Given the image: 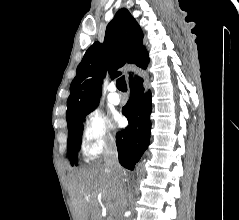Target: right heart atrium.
Listing matches in <instances>:
<instances>
[{"label": "right heart atrium", "mask_w": 239, "mask_h": 220, "mask_svg": "<svg viewBox=\"0 0 239 220\" xmlns=\"http://www.w3.org/2000/svg\"><path fill=\"white\" fill-rule=\"evenodd\" d=\"M81 145L85 156L94 159L115 145L108 117L100 109H92L82 123Z\"/></svg>", "instance_id": "d8ad5b80"}]
</instances>
